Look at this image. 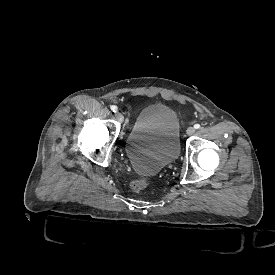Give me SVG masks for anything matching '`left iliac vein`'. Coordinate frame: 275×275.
I'll use <instances>...</instances> for the list:
<instances>
[{"label": "left iliac vein", "instance_id": "4c4485c4", "mask_svg": "<svg viewBox=\"0 0 275 275\" xmlns=\"http://www.w3.org/2000/svg\"><path fill=\"white\" fill-rule=\"evenodd\" d=\"M195 133V128L193 126L189 127L187 130H186V134L188 136H191Z\"/></svg>", "mask_w": 275, "mask_h": 275}]
</instances>
